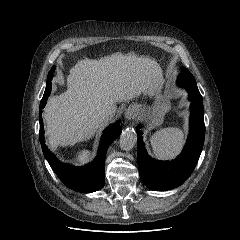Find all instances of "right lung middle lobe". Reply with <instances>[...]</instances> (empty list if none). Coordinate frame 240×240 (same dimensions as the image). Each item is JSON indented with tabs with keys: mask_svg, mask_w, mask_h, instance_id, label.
<instances>
[{
	"mask_svg": "<svg viewBox=\"0 0 240 240\" xmlns=\"http://www.w3.org/2000/svg\"><path fill=\"white\" fill-rule=\"evenodd\" d=\"M54 70H55V68L53 66L51 71L48 74L47 82H46V89H45V92H44V95H43V98H42L41 102H44L45 100H47V98L49 97V95L51 93V88H52L51 79L53 77Z\"/></svg>",
	"mask_w": 240,
	"mask_h": 240,
	"instance_id": "obj_1",
	"label": "right lung middle lobe"
}]
</instances>
